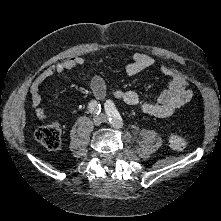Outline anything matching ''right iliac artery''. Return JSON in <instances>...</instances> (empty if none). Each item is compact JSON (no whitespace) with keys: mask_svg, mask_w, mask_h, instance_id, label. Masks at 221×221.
<instances>
[{"mask_svg":"<svg viewBox=\"0 0 221 221\" xmlns=\"http://www.w3.org/2000/svg\"><path fill=\"white\" fill-rule=\"evenodd\" d=\"M88 110L89 112L98 115L101 113V105L98 104L96 100H91L88 104Z\"/></svg>","mask_w":221,"mask_h":221,"instance_id":"1","label":"right iliac artery"}]
</instances>
